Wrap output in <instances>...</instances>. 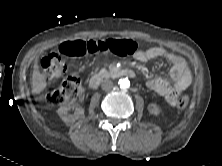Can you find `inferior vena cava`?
<instances>
[{
    "label": "inferior vena cava",
    "mask_w": 222,
    "mask_h": 166,
    "mask_svg": "<svg viewBox=\"0 0 222 166\" xmlns=\"http://www.w3.org/2000/svg\"><path fill=\"white\" fill-rule=\"evenodd\" d=\"M101 86L103 90H110L113 88L114 84L110 79H105L102 81Z\"/></svg>",
    "instance_id": "602c4592"
}]
</instances>
